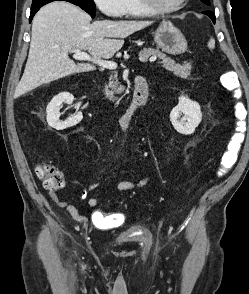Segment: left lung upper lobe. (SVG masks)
<instances>
[{
    "mask_svg": "<svg viewBox=\"0 0 249 294\" xmlns=\"http://www.w3.org/2000/svg\"><path fill=\"white\" fill-rule=\"evenodd\" d=\"M203 3H205L206 5H210V1L209 0H201Z\"/></svg>",
    "mask_w": 249,
    "mask_h": 294,
    "instance_id": "obj_1",
    "label": "left lung upper lobe"
}]
</instances>
